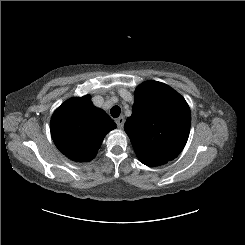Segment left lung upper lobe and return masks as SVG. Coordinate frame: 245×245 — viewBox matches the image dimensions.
Returning a JSON list of instances; mask_svg holds the SVG:
<instances>
[{"label": "left lung upper lobe", "instance_id": "1", "mask_svg": "<svg viewBox=\"0 0 245 245\" xmlns=\"http://www.w3.org/2000/svg\"><path fill=\"white\" fill-rule=\"evenodd\" d=\"M190 124L191 113L185 99L164 83L147 81L136 88L132 115L124 130L138 159L154 167L180 154Z\"/></svg>", "mask_w": 245, "mask_h": 245}]
</instances>
